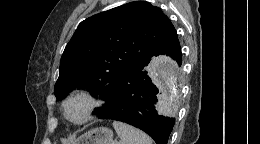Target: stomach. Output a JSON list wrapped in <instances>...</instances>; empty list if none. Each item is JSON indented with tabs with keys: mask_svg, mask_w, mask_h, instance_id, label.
<instances>
[{
	"mask_svg": "<svg viewBox=\"0 0 260 144\" xmlns=\"http://www.w3.org/2000/svg\"><path fill=\"white\" fill-rule=\"evenodd\" d=\"M75 144H113V131L106 127H97L82 134Z\"/></svg>",
	"mask_w": 260,
	"mask_h": 144,
	"instance_id": "1",
	"label": "stomach"
}]
</instances>
